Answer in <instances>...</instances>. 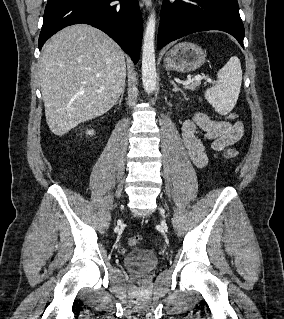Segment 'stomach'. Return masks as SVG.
<instances>
[{
	"instance_id": "stomach-1",
	"label": "stomach",
	"mask_w": 284,
	"mask_h": 319,
	"mask_svg": "<svg viewBox=\"0 0 284 319\" xmlns=\"http://www.w3.org/2000/svg\"><path fill=\"white\" fill-rule=\"evenodd\" d=\"M206 54L201 47L190 42H181L170 49L164 57V66L169 71L188 73L205 63Z\"/></svg>"
}]
</instances>
